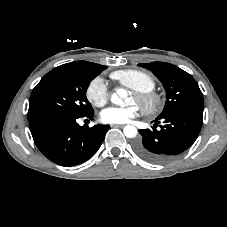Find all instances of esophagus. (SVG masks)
Returning <instances> with one entry per match:
<instances>
[{"label":"esophagus","mask_w":227,"mask_h":227,"mask_svg":"<svg viewBox=\"0 0 227 227\" xmlns=\"http://www.w3.org/2000/svg\"><path fill=\"white\" fill-rule=\"evenodd\" d=\"M124 125H120V124H114V125H112V127H123Z\"/></svg>","instance_id":"obj_1"}]
</instances>
